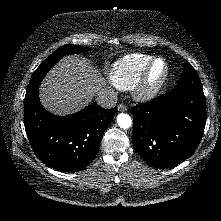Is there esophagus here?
I'll list each match as a JSON object with an SVG mask.
<instances>
[{
  "instance_id": "1",
  "label": "esophagus",
  "mask_w": 221,
  "mask_h": 221,
  "mask_svg": "<svg viewBox=\"0 0 221 221\" xmlns=\"http://www.w3.org/2000/svg\"><path fill=\"white\" fill-rule=\"evenodd\" d=\"M127 110V106L124 104H119L118 105V111L119 112H125Z\"/></svg>"
}]
</instances>
